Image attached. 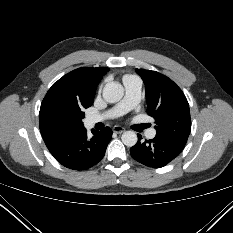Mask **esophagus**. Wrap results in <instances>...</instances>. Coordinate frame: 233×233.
<instances>
[{
    "mask_svg": "<svg viewBox=\"0 0 233 233\" xmlns=\"http://www.w3.org/2000/svg\"><path fill=\"white\" fill-rule=\"evenodd\" d=\"M125 131V129L123 128V127H121V126H114L113 127V132H115V133H123Z\"/></svg>",
    "mask_w": 233,
    "mask_h": 233,
    "instance_id": "esophagus-1",
    "label": "esophagus"
}]
</instances>
